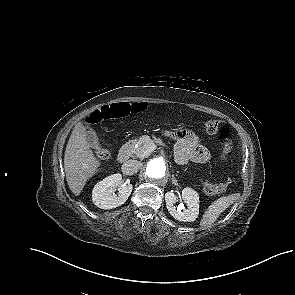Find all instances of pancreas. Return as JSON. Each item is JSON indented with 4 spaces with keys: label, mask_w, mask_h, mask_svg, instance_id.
Segmentation results:
<instances>
[{
    "label": "pancreas",
    "mask_w": 295,
    "mask_h": 295,
    "mask_svg": "<svg viewBox=\"0 0 295 295\" xmlns=\"http://www.w3.org/2000/svg\"><path fill=\"white\" fill-rule=\"evenodd\" d=\"M161 144L160 138H150L147 135L141 136L137 141V147L132 148V154L136 157L143 158L148 156L152 151H148L149 147L153 144Z\"/></svg>",
    "instance_id": "pancreas-1"
}]
</instances>
